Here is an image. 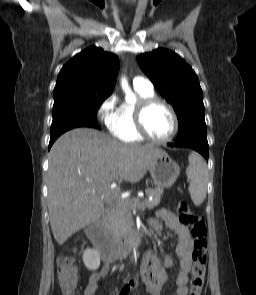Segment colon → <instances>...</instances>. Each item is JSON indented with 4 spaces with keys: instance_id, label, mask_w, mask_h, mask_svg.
I'll return each mask as SVG.
<instances>
[{
    "instance_id": "colon-1",
    "label": "colon",
    "mask_w": 256,
    "mask_h": 295,
    "mask_svg": "<svg viewBox=\"0 0 256 295\" xmlns=\"http://www.w3.org/2000/svg\"><path fill=\"white\" fill-rule=\"evenodd\" d=\"M175 210L182 224L190 226L194 239L192 278L189 295H202L207 272V227L204 217L194 213L185 201H177ZM59 283L63 295H76L77 268L72 256L58 260Z\"/></svg>"
}]
</instances>
